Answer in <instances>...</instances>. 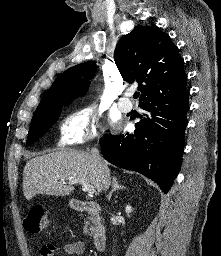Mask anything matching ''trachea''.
Wrapping results in <instances>:
<instances>
[{
  "mask_svg": "<svg viewBox=\"0 0 221 256\" xmlns=\"http://www.w3.org/2000/svg\"><path fill=\"white\" fill-rule=\"evenodd\" d=\"M139 95H140L139 92H135L134 95H133V97H134L135 99H137V98L139 97Z\"/></svg>",
  "mask_w": 221,
  "mask_h": 256,
  "instance_id": "trachea-1",
  "label": "trachea"
}]
</instances>
